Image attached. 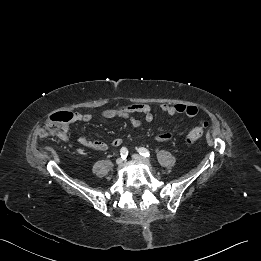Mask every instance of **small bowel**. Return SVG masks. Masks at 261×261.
Returning a JSON list of instances; mask_svg holds the SVG:
<instances>
[{"instance_id":"small-bowel-1","label":"small bowel","mask_w":261,"mask_h":261,"mask_svg":"<svg viewBox=\"0 0 261 261\" xmlns=\"http://www.w3.org/2000/svg\"><path fill=\"white\" fill-rule=\"evenodd\" d=\"M160 109L163 113L168 115H175V114H183L187 117L193 118L198 114L197 107L193 105H186V104H176V105H169V104H162ZM140 114L144 121L151 122L154 119L151 107L148 104L137 103L132 104L124 107H120L117 109H109L101 113V117L104 119H113V118H121L128 121L132 126L139 127L142 125V120L136 118L134 115ZM74 119L73 122H90L92 120V115L90 113H73ZM59 137L62 140L69 141L71 139L69 127L66 126L62 132L59 134ZM154 138L157 141L161 142H169L172 140L173 135L170 132H156ZM79 144L85 146L90 149L103 151L107 149V144L100 140L89 139L86 137H79L78 138ZM123 143L121 138H114L111 141V145L114 147H118Z\"/></svg>"}]
</instances>
